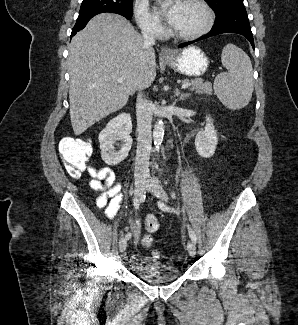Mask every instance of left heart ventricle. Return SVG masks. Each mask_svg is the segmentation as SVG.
Here are the masks:
<instances>
[{"instance_id": "obj_1", "label": "left heart ventricle", "mask_w": 298, "mask_h": 325, "mask_svg": "<svg viewBox=\"0 0 298 325\" xmlns=\"http://www.w3.org/2000/svg\"><path fill=\"white\" fill-rule=\"evenodd\" d=\"M203 23L200 10L190 1L183 0L179 3V11L170 28L177 33H191Z\"/></svg>"}]
</instances>
